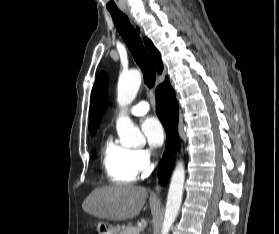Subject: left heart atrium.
Masks as SVG:
<instances>
[{"mask_svg":"<svg viewBox=\"0 0 279 234\" xmlns=\"http://www.w3.org/2000/svg\"><path fill=\"white\" fill-rule=\"evenodd\" d=\"M142 132L145 135L148 144L157 148L160 147L165 138V132L160 121L155 117H147L141 124Z\"/></svg>","mask_w":279,"mask_h":234,"instance_id":"left-heart-atrium-1","label":"left heart atrium"}]
</instances>
